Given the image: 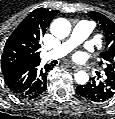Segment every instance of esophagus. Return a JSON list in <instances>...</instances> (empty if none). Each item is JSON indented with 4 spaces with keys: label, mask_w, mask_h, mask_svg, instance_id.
I'll return each instance as SVG.
<instances>
[{
    "label": "esophagus",
    "mask_w": 115,
    "mask_h": 119,
    "mask_svg": "<svg viewBox=\"0 0 115 119\" xmlns=\"http://www.w3.org/2000/svg\"><path fill=\"white\" fill-rule=\"evenodd\" d=\"M70 66H71V68H72L73 70H75V71L81 69V66L76 65V64H74V63H70Z\"/></svg>",
    "instance_id": "esophagus-1"
}]
</instances>
